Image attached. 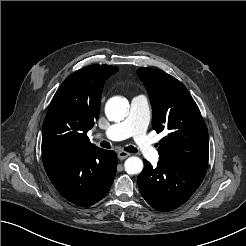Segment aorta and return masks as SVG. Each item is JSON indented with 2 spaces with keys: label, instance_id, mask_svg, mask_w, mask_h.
I'll return each mask as SVG.
<instances>
[{
  "label": "aorta",
  "instance_id": "1",
  "mask_svg": "<svg viewBox=\"0 0 246 246\" xmlns=\"http://www.w3.org/2000/svg\"><path fill=\"white\" fill-rule=\"evenodd\" d=\"M129 111V103L125 98L113 97L106 103L105 113L110 120H122ZM125 171L128 174H139L143 170V161L136 156L126 159Z\"/></svg>",
  "mask_w": 246,
  "mask_h": 246
}]
</instances>
